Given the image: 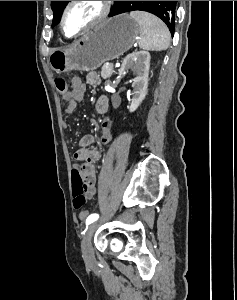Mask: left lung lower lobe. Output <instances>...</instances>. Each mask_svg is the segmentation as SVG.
<instances>
[{
  "mask_svg": "<svg viewBox=\"0 0 237 300\" xmlns=\"http://www.w3.org/2000/svg\"><path fill=\"white\" fill-rule=\"evenodd\" d=\"M163 3H165V1H163ZM114 15H117V14H115V12H112V14L110 16H114Z\"/></svg>",
  "mask_w": 237,
  "mask_h": 300,
  "instance_id": "0a47b994",
  "label": "left lung lower lobe"
}]
</instances>
